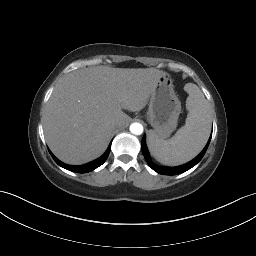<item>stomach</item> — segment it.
<instances>
[{
	"label": "stomach",
	"mask_w": 256,
	"mask_h": 256,
	"mask_svg": "<svg viewBox=\"0 0 256 256\" xmlns=\"http://www.w3.org/2000/svg\"><path fill=\"white\" fill-rule=\"evenodd\" d=\"M180 113L181 102L174 91L173 81L169 74L163 73L151 93L147 112V120L158 138L164 139L176 129Z\"/></svg>",
	"instance_id": "0dacf381"
}]
</instances>
